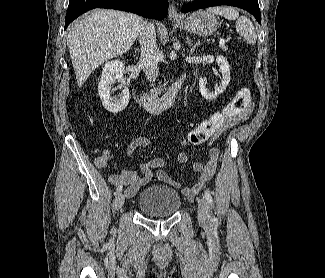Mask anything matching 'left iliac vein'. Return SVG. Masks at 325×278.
Masks as SVG:
<instances>
[{"instance_id": "left-iliac-vein-1", "label": "left iliac vein", "mask_w": 325, "mask_h": 278, "mask_svg": "<svg viewBox=\"0 0 325 278\" xmlns=\"http://www.w3.org/2000/svg\"><path fill=\"white\" fill-rule=\"evenodd\" d=\"M198 220L202 225H208L211 221V214L208 202L204 198H198Z\"/></svg>"}]
</instances>
